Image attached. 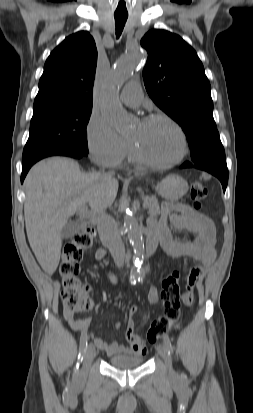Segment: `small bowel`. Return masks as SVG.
<instances>
[{"instance_id":"c3829d8e","label":"small bowel","mask_w":253,"mask_h":413,"mask_svg":"<svg viewBox=\"0 0 253 413\" xmlns=\"http://www.w3.org/2000/svg\"><path fill=\"white\" fill-rule=\"evenodd\" d=\"M149 231L158 236L164 252L172 258L188 257L198 262L190 273L185 275V282L181 285L183 297L182 307L191 309L193 307V290L196 280L204 269L209 267L216 258L215 228L212 221L204 214L196 211L191 206L179 202H166L162 206V215L159 219L151 217L148 222ZM171 227L177 230L187 231L195 235L193 241H181L173 237ZM104 255L97 250L95 258L101 261ZM108 277L115 282L116 277L111 271H106ZM148 300L155 304L159 300L158 290L152 287L148 293ZM136 307L129 312V320L126 328V339L129 346L117 342L107 343L96 337L93 339L95 346L104 351L108 356L119 354H134L142 356L146 354L144 340L135 332L133 317ZM64 317L70 327L81 335L88 333L90 318H78L75 314L64 312Z\"/></svg>"}]
</instances>
